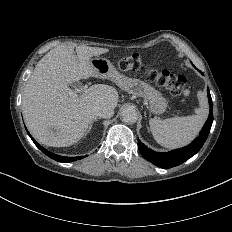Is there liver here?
I'll use <instances>...</instances> for the list:
<instances>
[{
    "instance_id": "liver-1",
    "label": "liver",
    "mask_w": 232,
    "mask_h": 232,
    "mask_svg": "<svg viewBox=\"0 0 232 232\" xmlns=\"http://www.w3.org/2000/svg\"><path fill=\"white\" fill-rule=\"evenodd\" d=\"M106 48L58 46L51 49L36 65L22 96V112L32 136L41 144L68 147L77 143L95 119L94 108H115L117 90L95 84L79 96H70L69 84L98 77L90 64L92 56L107 53Z\"/></svg>"
}]
</instances>
